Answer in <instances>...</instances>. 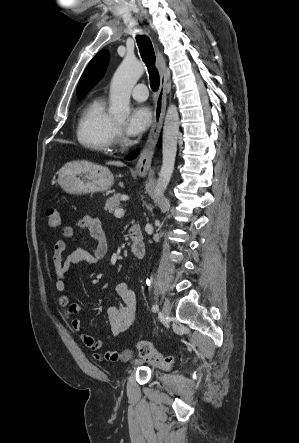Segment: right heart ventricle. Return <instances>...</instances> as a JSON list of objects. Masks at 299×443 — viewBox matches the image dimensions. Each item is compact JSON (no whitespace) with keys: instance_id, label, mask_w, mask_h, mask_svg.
Instances as JSON below:
<instances>
[{"instance_id":"right-heart-ventricle-1","label":"right heart ventricle","mask_w":299,"mask_h":443,"mask_svg":"<svg viewBox=\"0 0 299 443\" xmlns=\"http://www.w3.org/2000/svg\"><path fill=\"white\" fill-rule=\"evenodd\" d=\"M116 129V123L108 114L104 99L95 98L83 109L76 135L84 148L95 152H110Z\"/></svg>"}]
</instances>
